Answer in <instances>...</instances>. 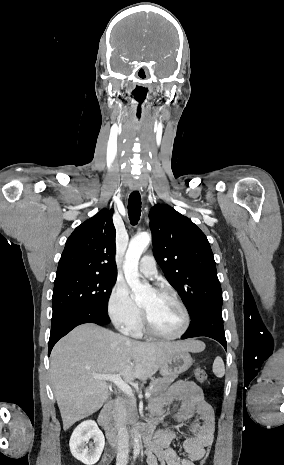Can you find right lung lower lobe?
<instances>
[{
	"label": "right lung lower lobe",
	"instance_id": "obj_1",
	"mask_svg": "<svg viewBox=\"0 0 284 465\" xmlns=\"http://www.w3.org/2000/svg\"><path fill=\"white\" fill-rule=\"evenodd\" d=\"M84 323L106 325L110 323L107 312L86 307L70 308L52 317L51 333L48 344V355L55 343L73 328Z\"/></svg>",
	"mask_w": 284,
	"mask_h": 465
}]
</instances>
